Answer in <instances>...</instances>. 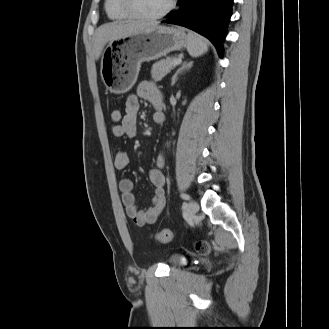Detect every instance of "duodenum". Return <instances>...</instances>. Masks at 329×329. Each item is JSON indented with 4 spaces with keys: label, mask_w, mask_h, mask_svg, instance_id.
<instances>
[{
    "label": "duodenum",
    "mask_w": 329,
    "mask_h": 329,
    "mask_svg": "<svg viewBox=\"0 0 329 329\" xmlns=\"http://www.w3.org/2000/svg\"><path fill=\"white\" fill-rule=\"evenodd\" d=\"M165 120V115L162 111H158L155 115V118H154V121L157 123V124H160V123H163Z\"/></svg>",
    "instance_id": "410a0bca"
}]
</instances>
